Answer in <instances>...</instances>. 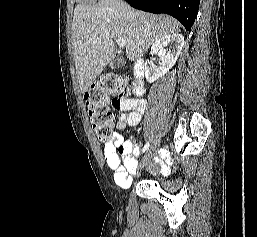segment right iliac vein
Wrapping results in <instances>:
<instances>
[{
	"label": "right iliac vein",
	"instance_id": "right-iliac-vein-1",
	"mask_svg": "<svg viewBox=\"0 0 257 237\" xmlns=\"http://www.w3.org/2000/svg\"><path fill=\"white\" fill-rule=\"evenodd\" d=\"M160 144L159 140H156L153 142L151 147L148 149L146 154L143 156L141 162H140V168L146 167L151 161H152V155L157 150L158 146Z\"/></svg>",
	"mask_w": 257,
	"mask_h": 237
}]
</instances>
